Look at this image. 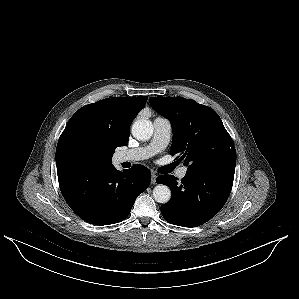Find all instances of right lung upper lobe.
<instances>
[{
	"instance_id": "right-lung-upper-lobe-1",
	"label": "right lung upper lobe",
	"mask_w": 299,
	"mask_h": 299,
	"mask_svg": "<svg viewBox=\"0 0 299 299\" xmlns=\"http://www.w3.org/2000/svg\"><path fill=\"white\" fill-rule=\"evenodd\" d=\"M147 96L107 98L80 108L68 121L56 149V164H110L119 146L129 140L130 125L147 102ZM88 142L89 152L75 145Z\"/></svg>"
}]
</instances>
